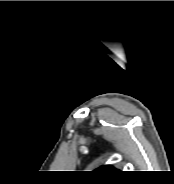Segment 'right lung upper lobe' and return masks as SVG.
<instances>
[{
    "label": "right lung upper lobe",
    "instance_id": "obj_1",
    "mask_svg": "<svg viewBox=\"0 0 174 184\" xmlns=\"http://www.w3.org/2000/svg\"><path fill=\"white\" fill-rule=\"evenodd\" d=\"M95 171H97V172H103V173H111V172H116L118 170L114 169L111 166L106 165V166H102V167L96 169Z\"/></svg>",
    "mask_w": 174,
    "mask_h": 184
}]
</instances>
